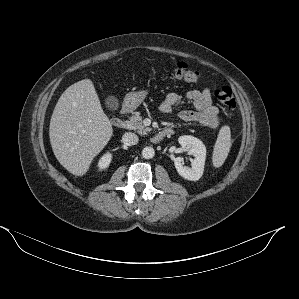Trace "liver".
<instances>
[{
  "instance_id": "6515ba94",
  "label": "liver",
  "mask_w": 299,
  "mask_h": 299,
  "mask_svg": "<svg viewBox=\"0 0 299 299\" xmlns=\"http://www.w3.org/2000/svg\"><path fill=\"white\" fill-rule=\"evenodd\" d=\"M113 134L90 79L69 86L53 111L49 137L53 153L70 173L83 176Z\"/></svg>"
}]
</instances>
